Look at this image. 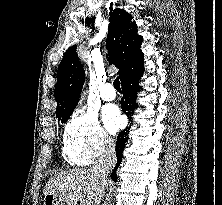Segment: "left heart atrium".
<instances>
[{
    "mask_svg": "<svg viewBox=\"0 0 222 205\" xmlns=\"http://www.w3.org/2000/svg\"><path fill=\"white\" fill-rule=\"evenodd\" d=\"M106 128L114 133L122 124V117L119 109L114 105L106 106L102 113Z\"/></svg>",
    "mask_w": 222,
    "mask_h": 205,
    "instance_id": "left-heart-atrium-1",
    "label": "left heart atrium"
}]
</instances>
